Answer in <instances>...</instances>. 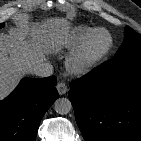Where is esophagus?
Wrapping results in <instances>:
<instances>
[{"label":"esophagus","mask_w":141,"mask_h":141,"mask_svg":"<svg viewBox=\"0 0 141 141\" xmlns=\"http://www.w3.org/2000/svg\"><path fill=\"white\" fill-rule=\"evenodd\" d=\"M59 95H64L67 91V85L64 82H59L56 86Z\"/></svg>","instance_id":"1"}]
</instances>
